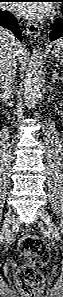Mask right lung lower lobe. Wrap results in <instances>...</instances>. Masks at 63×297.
<instances>
[{"instance_id":"right-lung-lower-lobe-1","label":"right lung lower lobe","mask_w":63,"mask_h":297,"mask_svg":"<svg viewBox=\"0 0 63 297\" xmlns=\"http://www.w3.org/2000/svg\"><path fill=\"white\" fill-rule=\"evenodd\" d=\"M0 26L10 29L15 36L22 41L16 18L11 13L0 10Z\"/></svg>"}]
</instances>
